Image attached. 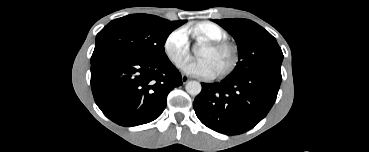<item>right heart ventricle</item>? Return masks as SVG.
I'll list each match as a JSON object with an SVG mask.
<instances>
[{"label": "right heart ventricle", "instance_id": "right-heart-ventricle-1", "mask_svg": "<svg viewBox=\"0 0 369 152\" xmlns=\"http://www.w3.org/2000/svg\"><path fill=\"white\" fill-rule=\"evenodd\" d=\"M186 32L199 42L226 40V31L211 21H202L187 27Z\"/></svg>", "mask_w": 369, "mask_h": 152}]
</instances>
